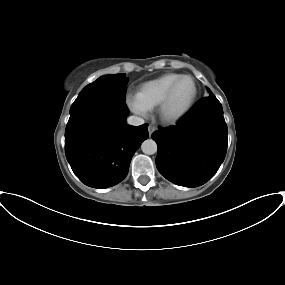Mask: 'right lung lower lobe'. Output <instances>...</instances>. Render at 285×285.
<instances>
[{
	"label": "right lung lower lobe",
	"mask_w": 285,
	"mask_h": 285,
	"mask_svg": "<svg viewBox=\"0 0 285 285\" xmlns=\"http://www.w3.org/2000/svg\"><path fill=\"white\" fill-rule=\"evenodd\" d=\"M128 113L125 101L96 98L70 114L65 154L85 185L104 189L126 177L134 153L149 136L147 124H126Z\"/></svg>",
	"instance_id": "obj_1"
}]
</instances>
